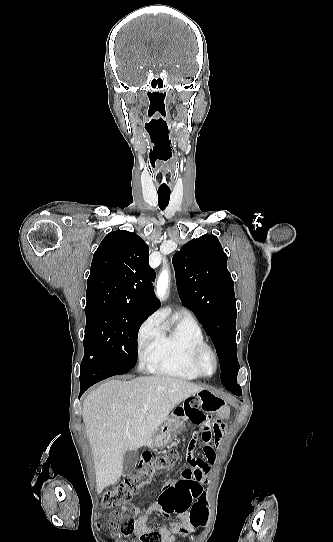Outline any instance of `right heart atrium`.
<instances>
[{"label":"right heart atrium","instance_id":"1","mask_svg":"<svg viewBox=\"0 0 333 542\" xmlns=\"http://www.w3.org/2000/svg\"><path fill=\"white\" fill-rule=\"evenodd\" d=\"M160 337L158 321L155 318L148 319L139 330V346L143 348L154 343Z\"/></svg>","mask_w":333,"mask_h":542}]
</instances>
